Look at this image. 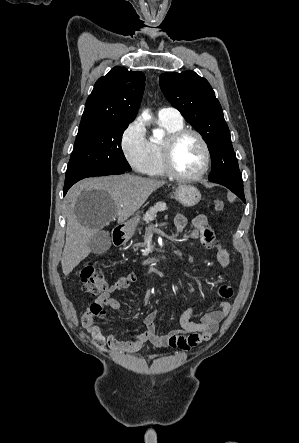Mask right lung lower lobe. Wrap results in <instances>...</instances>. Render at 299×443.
Masks as SVG:
<instances>
[{
	"label": "right lung lower lobe",
	"mask_w": 299,
	"mask_h": 443,
	"mask_svg": "<svg viewBox=\"0 0 299 443\" xmlns=\"http://www.w3.org/2000/svg\"><path fill=\"white\" fill-rule=\"evenodd\" d=\"M126 171L124 170H115V171H108L105 173L100 174L99 176H104V175H118V174H123ZM72 185H64V189H63V194L65 195L68 191V189L71 187Z\"/></svg>",
	"instance_id": "obj_1"
}]
</instances>
